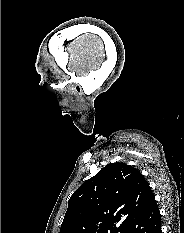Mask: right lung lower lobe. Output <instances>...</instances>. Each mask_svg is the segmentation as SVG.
Returning <instances> with one entry per match:
<instances>
[{"label":"right lung lower lobe","mask_w":184,"mask_h":233,"mask_svg":"<svg viewBox=\"0 0 184 233\" xmlns=\"http://www.w3.org/2000/svg\"><path fill=\"white\" fill-rule=\"evenodd\" d=\"M125 233H162L161 216L157 204H154Z\"/></svg>","instance_id":"right-lung-lower-lobe-1"}]
</instances>
